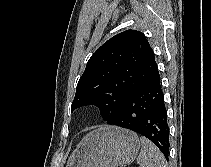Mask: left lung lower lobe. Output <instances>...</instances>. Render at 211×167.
<instances>
[{
    "instance_id": "obj_1",
    "label": "left lung lower lobe",
    "mask_w": 211,
    "mask_h": 167,
    "mask_svg": "<svg viewBox=\"0 0 211 167\" xmlns=\"http://www.w3.org/2000/svg\"><path fill=\"white\" fill-rule=\"evenodd\" d=\"M108 124L133 130L151 140L168 160L169 127L158 68L125 100Z\"/></svg>"
}]
</instances>
